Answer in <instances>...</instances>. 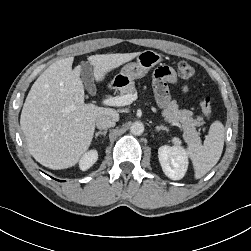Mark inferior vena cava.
Listing matches in <instances>:
<instances>
[{"mask_svg": "<svg viewBox=\"0 0 251 251\" xmlns=\"http://www.w3.org/2000/svg\"><path fill=\"white\" fill-rule=\"evenodd\" d=\"M115 120H116L115 117L111 115L102 114L96 118V126L98 129H107L110 127H114Z\"/></svg>", "mask_w": 251, "mask_h": 251, "instance_id": "inferior-vena-cava-1", "label": "inferior vena cava"}]
</instances>
